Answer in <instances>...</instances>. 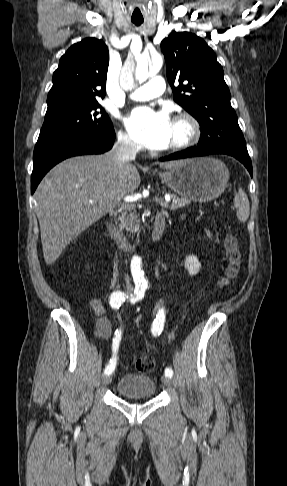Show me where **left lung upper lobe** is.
Returning a JSON list of instances; mask_svg holds the SVG:
<instances>
[{
  "mask_svg": "<svg viewBox=\"0 0 287 486\" xmlns=\"http://www.w3.org/2000/svg\"><path fill=\"white\" fill-rule=\"evenodd\" d=\"M161 50L174 100L200 124L198 147L247 152L223 68L213 50L197 35L175 31L161 42Z\"/></svg>",
  "mask_w": 287,
  "mask_h": 486,
  "instance_id": "obj_1",
  "label": "left lung upper lobe"
}]
</instances>
